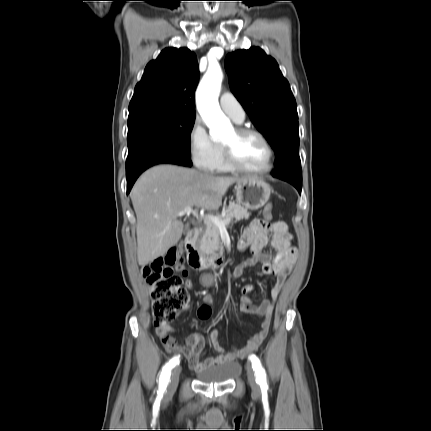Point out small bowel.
<instances>
[{
  "label": "small bowel",
  "instance_id": "1",
  "mask_svg": "<svg viewBox=\"0 0 431 431\" xmlns=\"http://www.w3.org/2000/svg\"><path fill=\"white\" fill-rule=\"evenodd\" d=\"M267 244H270L273 249V255L263 253V248ZM238 246L241 251H248L250 256L233 267L232 278L237 279L244 271L259 266L256 271L259 276H275L276 282L271 287L270 293L273 298L277 297L293 268L296 257V250L292 245V235L288 231L287 225L282 221L269 222L267 218L254 219L243 229ZM183 275L186 287L192 288L193 282L187 277L186 270H183ZM254 290L255 286L252 284L242 286L239 309L244 314L260 317L261 324L258 332L241 348L233 347L230 351H226L218 340L216 330L210 331L207 337L193 333L187 337L185 344H179L171 336V333L175 331L174 328L166 324L157 327V336L167 352L183 355L191 368L196 371L229 363L237 358H244L255 352L266 338L273 313V304L269 300H263L258 305H253L251 294ZM212 300L211 295H205L203 298V301L210 303ZM207 346L218 352V355L203 359Z\"/></svg>",
  "mask_w": 431,
  "mask_h": 431
}]
</instances>
